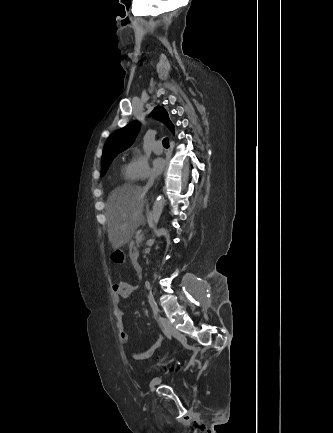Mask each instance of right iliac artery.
<instances>
[{
    "label": "right iliac artery",
    "mask_w": 333,
    "mask_h": 433,
    "mask_svg": "<svg viewBox=\"0 0 333 433\" xmlns=\"http://www.w3.org/2000/svg\"><path fill=\"white\" fill-rule=\"evenodd\" d=\"M162 331L168 339H170V340L172 339V334L169 332L168 329L162 327Z\"/></svg>",
    "instance_id": "right-iliac-artery-1"
}]
</instances>
